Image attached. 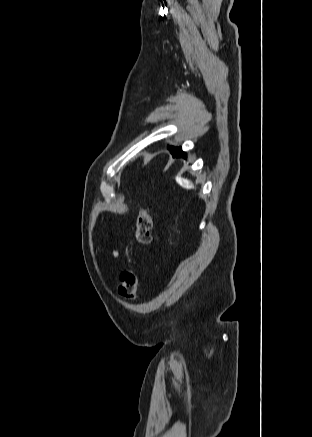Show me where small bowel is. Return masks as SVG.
I'll list each match as a JSON object with an SVG mask.
<instances>
[{
    "label": "small bowel",
    "instance_id": "small-bowel-1",
    "mask_svg": "<svg viewBox=\"0 0 312 437\" xmlns=\"http://www.w3.org/2000/svg\"><path fill=\"white\" fill-rule=\"evenodd\" d=\"M114 256L117 257L118 256V252H114Z\"/></svg>",
    "mask_w": 312,
    "mask_h": 437
}]
</instances>
